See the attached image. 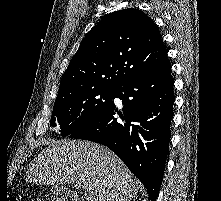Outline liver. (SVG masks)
Segmentation results:
<instances>
[{"mask_svg": "<svg viewBox=\"0 0 221 201\" xmlns=\"http://www.w3.org/2000/svg\"><path fill=\"white\" fill-rule=\"evenodd\" d=\"M45 143L48 147L29 165L27 182L52 186L81 182V201H116L138 193V179L105 146L83 140Z\"/></svg>", "mask_w": 221, "mask_h": 201, "instance_id": "liver-1", "label": "liver"}]
</instances>
